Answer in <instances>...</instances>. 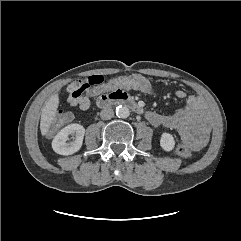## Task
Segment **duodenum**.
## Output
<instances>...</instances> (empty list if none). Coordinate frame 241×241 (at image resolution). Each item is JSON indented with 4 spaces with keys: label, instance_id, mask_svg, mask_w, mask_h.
<instances>
[{
    "label": "duodenum",
    "instance_id": "1",
    "mask_svg": "<svg viewBox=\"0 0 241 241\" xmlns=\"http://www.w3.org/2000/svg\"><path fill=\"white\" fill-rule=\"evenodd\" d=\"M97 105L100 108H106L111 105H125L137 113L142 112V108L138 103L123 91H116L112 96H100L97 100Z\"/></svg>",
    "mask_w": 241,
    "mask_h": 241
}]
</instances>
